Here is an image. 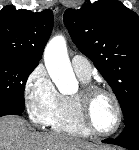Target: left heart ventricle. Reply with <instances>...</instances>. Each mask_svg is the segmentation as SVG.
<instances>
[{
  "mask_svg": "<svg viewBox=\"0 0 139 150\" xmlns=\"http://www.w3.org/2000/svg\"><path fill=\"white\" fill-rule=\"evenodd\" d=\"M90 116L96 129L102 132L111 130L117 120L115 105L111 98L105 94L97 95L91 103Z\"/></svg>",
  "mask_w": 139,
  "mask_h": 150,
  "instance_id": "b2bd125f",
  "label": "left heart ventricle"
}]
</instances>
